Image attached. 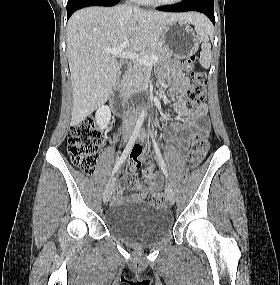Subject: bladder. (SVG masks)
Wrapping results in <instances>:
<instances>
[{
  "label": "bladder",
  "instance_id": "obj_1",
  "mask_svg": "<svg viewBox=\"0 0 280 285\" xmlns=\"http://www.w3.org/2000/svg\"><path fill=\"white\" fill-rule=\"evenodd\" d=\"M105 224L115 236L134 244H149L159 240L173 225L169 210L151 203L134 201L110 206Z\"/></svg>",
  "mask_w": 280,
  "mask_h": 285
}]
</instances>
